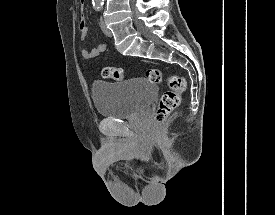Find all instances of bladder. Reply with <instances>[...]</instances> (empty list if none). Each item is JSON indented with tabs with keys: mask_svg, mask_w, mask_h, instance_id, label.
Returning <instances> with one entry per match:
<instances>
[{
	"mask_svg": "<svg viewBox=\"0 0 275 215\" xmlns=\"http://www.w3.org/2000/svg\"><path fill=\"white\" fill-rule=\"evenodd\" d=\"M157 94V85L143 77L129 81H95L92 85L97 113L113 119L133 117L148 107Z\"/></svg>",
	"mask_w": 275,
	"mask_h": 215,
	"instance_id": "bladder-1",
	"label": "bladder"
}]
</instances>
